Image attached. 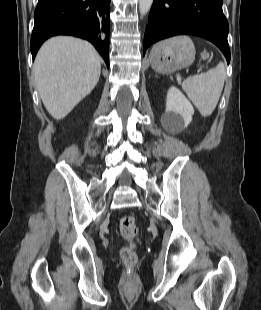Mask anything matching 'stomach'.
Returning <instances> with one entry per match:
<instances>
[{
	"label": "stomach",
	"instance_id": "stomach-1",
	"mask_svg": "<svg viewBox=\"0 0 261 310\" xmlns=\"http://www.w3.org/2000/svg\"><path fill=\"white\" fill-rule=\"evenodd\" d=\"M195 46L188 37H174L153 47L149 59L159 73L174 72L190 66L195 59Z\"/></svg>",
	"mask_w": 261,
	"mask_h": 310
}]
</instances>
